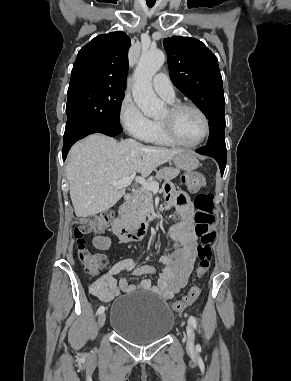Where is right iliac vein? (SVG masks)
Returning a JSON list of instances; mask_svg holds the SVG:
<instances>
[{
  "label": "right iliac vein",
  "instance_id": "1",
  "mask_svg": "<svg viewBox=\"0 0 291 381\" xmlns=\"http://www.w3.org/2000/svg\"><path fill=\"white\" fill-rule=\"evenodd\" d=\"M105 320H106V314L105 313L100 314V316L98 317V327L99 328H102L104 326Z\"/></svg>",
  "mask_w": 291,
  "mask_h": 381
}]
</instances>
